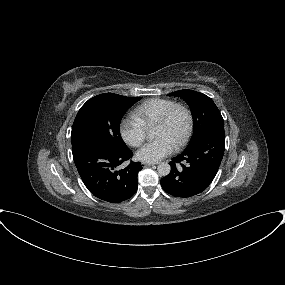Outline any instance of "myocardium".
<instances>
[{"label":"myocardium","mask_w":285,"mask_h":285,"mask_svg":"<svg viewBox=\"0 0 285 285\" xmlns=\"http://www.w3.org/2000/svg\"><path fill=\"white\" fill-rule=\"evenodd\" d=\"M178 111L183 112V114L185 115L186 127H185V131H184L182 138L176 144L177 148L182 147L183 145L186 144V142L188 141V139L191 135V132H192L193 118H192V114H191V111L189 110V108L183 104L176 103L156 122V125H167L171 122L174 115Z\"/></svg>","instance_id":"obj_1"}]
</instances>
